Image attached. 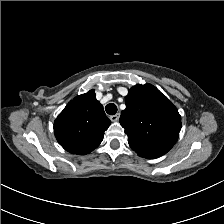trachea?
<instances>
[{
	"instance_id": "1",
	"label": "trachea",
	"mask_w": 224,
	"mask_h": 224,
	"mask_svg": "<svg viewBox=\"0 0 224 224\" xmlns=\"http://www.w3.org/2000/svg\"><path fill=\"white\" fill-rule=\"evenodd\" d=\"M105 110L109 115H114L117 112V106L114 103H109L106 105Z\"/></svg>"
}]
</instances>
